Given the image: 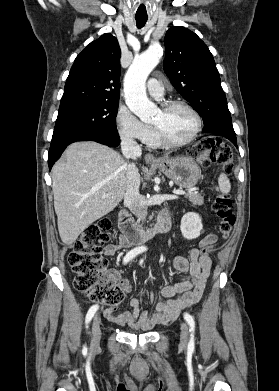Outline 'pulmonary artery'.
Here are the masks:
<instances>
[{
    "label": "pulmonary artery",
    "instance_id": "e3ab8cb5",
    "mask_svg": "<svg viewBox=\"0 0 279 391\" xmlns=\"http://www.w3.org/2000/svg\"><path fill=\"white\" fill-rule=\"evenodd\" d=\"M148 92L156 99H162L164 95V88L161 82L156 78H151L147 84Z\"/></svg>",
    "mask_w": 279,
    "mask_h": 391
}]
</instances>
